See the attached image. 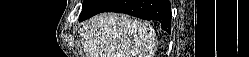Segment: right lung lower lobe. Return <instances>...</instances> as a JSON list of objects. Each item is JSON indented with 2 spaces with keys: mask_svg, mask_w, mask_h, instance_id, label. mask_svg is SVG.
Instances as JSON below:
<instances>
[{
  "mask_svg": "<svg viewBox=\"0 0 249 57\" xmlns=\"http://www.w3.org/2000/svg\"><path fill=\"white\" fill-rule=\"evenodd\" d=\"M101 12H118L141 19L158 20L163 30H171L172 14L169 0H91L82 9L79 20H86Z\"/></svg>",
  "mask_w": 249,
  "mask_h": 57,
  "instance_id": "98d812e1",
  "label": "right lung lower lobe"
}]
</instances>
